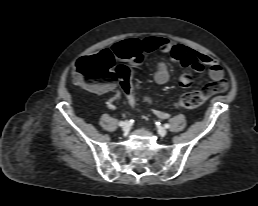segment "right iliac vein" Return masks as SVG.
Returning <instances> with one entry per match:
<instances>
[{
    "instance_id": "63e3f726",
    "label": "right iliac vein",
    "mask_w": 258,
    "mask_h": 206,
    "mask_svg": "<svg viewBox=\"0 0 258 206\" xmlns=\"http://www.w3.org/2000/svg\"><path fill=\"white\" fill-rule=\"evenodd\" d=\"M129 129H130L129 123H128V122H124V124H123V126H122V130H123L124 132H128Z\"/></svg>"
}]
</instances>
